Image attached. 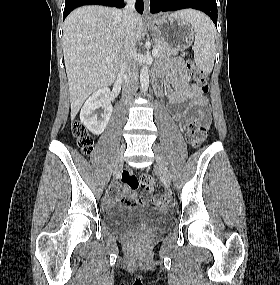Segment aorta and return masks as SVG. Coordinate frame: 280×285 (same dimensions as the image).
I'll use <instances>...</instances> for the list:
<instances>
[{"instance_id":"aorta-1","label":"aorta","mask_w":280,"mask_h":285,"mask_svg":"<svg viewBox=\"0 0 280 285\" xmlns=\"http://www.w3.org/2000/svg\"><path fill=\"white\" fill-rule=\"evenodd\" d=\"M140 85L143 93H146L149 86V73L148 66L145 64L142 66L140 71Z\"/></svg>"}]
</instances>
